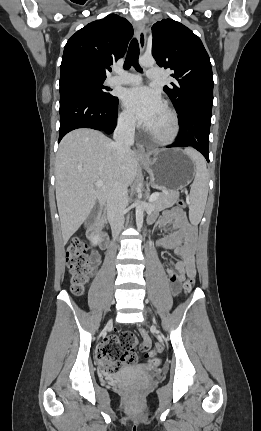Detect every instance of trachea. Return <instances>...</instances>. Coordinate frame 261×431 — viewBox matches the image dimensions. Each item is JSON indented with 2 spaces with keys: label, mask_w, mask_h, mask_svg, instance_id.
Returning a JSON list of instances; mask_svg holds the SVG:
<instances>
[{
  "label": "trachea",
  "mask_w": 261,
  "mask_h": 431,
  "mask_svg": "<svg viewBox=\"0 0 261 431\" xmlns=\"http://www.w3.org/2000/svg\"><path fill=\"white\" fill-rule=\"evenodd\" d=\"M138 58H139V44L136 38H134L129 45L128 53L124 63V69L128 70L131 66H133L136 70L142 71L138 63Z\"/></svg>",
  "instance_id": "3493384b"
}]
</instances>
